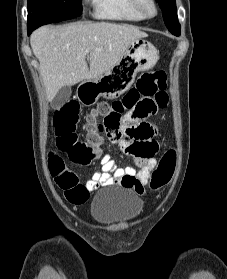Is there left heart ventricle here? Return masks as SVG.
Masks as SVG:
<instances>
[{
    "label": "left heart ventricle",
    "mask_w": 227,
    "mask_h": 279,
    "mask_svg": "<svg viewBox=\"0 0 227 279\" xmlns=\"http://www.w3.org/2000/svg\"><path fill=\"white\" fill-rule=\"evenodd\" d=\"M146 9H147L148 11H151V10H152V9H151V6H150L149 4L146 5Z\"/></svg>",
    "instance_id": "1"
}]
</instances>
